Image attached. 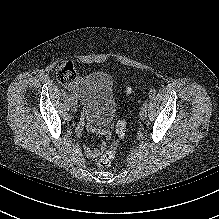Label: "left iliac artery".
Instances as JSON below:
<instances>
[{
	"instance_id": "44dca946",
	"label": "left iliac artery",
	"mask_w": 219,
	"mask_h": 219,
	"mask_svg": "<svg viewBox=\"0 0 219 219\" xmlns=\"http://www.w3.org/2000/svg\"><path fill=\"white\" fill-rule=\"evenodd\" d=\"M148 107V101H144L142 108L147 109Z\"/></svg>"
}]
</instances>
